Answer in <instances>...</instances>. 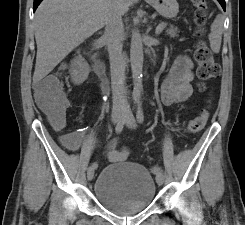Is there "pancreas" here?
Returning <instances> with one entry per match:
<instances>
[{
  "label": "pancreas",
  "instance_id": "pancreas-1",
  "mask_svg": "<svg viewBox=\"0 0 245 225\" xmlns=\"http://www.w3.org/2000/svg\"><path fill=\"white\" fill-rule=\"evenodd\" d=\"M178 33H179V30L177 28H174L173 26H171L170 28L166 29V34L169 35L172 38L178 36Z\"/></svg>",
  "mask_w": 245,
  "mask_h": 225
}]
</instances>
